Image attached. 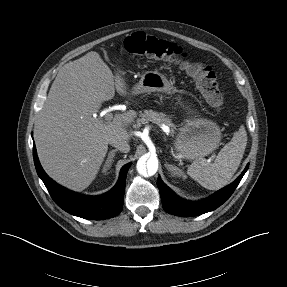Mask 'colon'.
I'll list each match as a JSON object with an SVG mask.
<instances>
[{
    "label": "colon",
    "mask_w": 287,
    "mask_h": 287,
    "mask_svg": "<svg viewBox=\"0 0 287 287\" xmlns=\"http://www.w3.org/2000/svg\"><path fill=\"white\" fill-rule=\"evenodd\" d=\"M123 49L129 54L178 63L195 80L210 106L216 109L222 106L223 95L213 69L204 62L188 60L177 44L144 32H135L125 39Z\"/></svg>",
    "instance_id": "1"
}]
</instances>
